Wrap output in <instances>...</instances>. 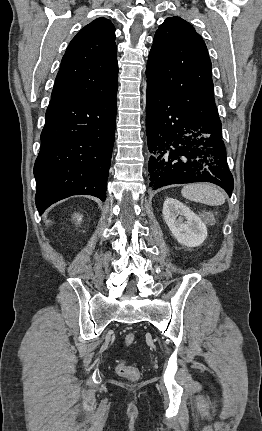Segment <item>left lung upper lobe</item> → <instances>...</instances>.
<instances>
[{
	"mask_svg": "<svg viewBox=\"0 0 262 431\" xmlns=\"http://www.w3.org/2000/svg\"><path fill=\"white\" fill-rule=\"evenodd\" d=\"M211 61L195 29L180 17L167 18L155 33L147 83L167 94L207 125H221L214 102Z\"/></svg>",
	"mask_w": 262,
	"mask_h": 431,
	"instance_id": "left-lung-upper-lobe-1",
	"label": "left lung upper lobe"
}]
</instances>
